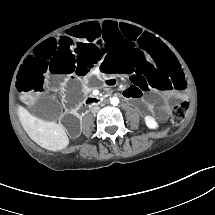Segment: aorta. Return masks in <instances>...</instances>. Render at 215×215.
Masks as SVG:
<instances>
[{"label":"aorta","mask_w":215,"mask_h":215,"mask_svg":"<svg viewBox=\"0 0 215 215\" xmlns=\"http://www.w3.org/2000/svg\"><path fill=\"white\" fill-rule=\"evenodd\" d=\"M119 103V99L117 97H112L110 99V104L116 106Z\"/></svg>","instance_id":"obj_1"}]
</instances>
